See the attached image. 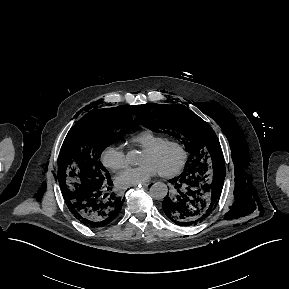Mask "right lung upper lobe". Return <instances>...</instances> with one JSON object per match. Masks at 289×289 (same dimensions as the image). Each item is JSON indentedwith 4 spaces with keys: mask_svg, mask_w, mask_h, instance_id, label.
<instances>
[{
    "mask_svg": "<svg viewBox=\"0 0 289 289\" xmlns=\"http://www.w3.org/2000/svg\"><path fill=\"white\" fill-rule=\"evenodd\" d=\"M115 108H117V107H115ZM107 109H113V108H107ZM98 110H106V109H98ZM95 111H97V110H95ZM93 112V111H92Z\"/></svg>",
    "mask_w": 289,
    "mask_h": 289,
    "instance_id": "obj_1",
    "label": "right lung upper lobe"
}]
</instances>
